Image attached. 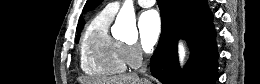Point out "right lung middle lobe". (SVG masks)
Wrapping results in <instances>:
<instances>
[{"label": "right lung middle lobe", "instance_id": "right-lung-middle-lobe-1", "mask_svg": "<svg viewBox=\"0 0 260 84\" xmlns=\"http://www.w3.org/2000/svg\"><path fill=\"white\" fill-rule=\"evenodd\" d=\"M78 33H80V32H78ZM78 39H79V36L77 37V41H78Z\"/></svg>", "mask_w": 260, "mask_h": 84}]
</instances>
